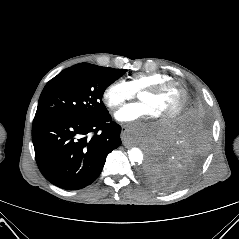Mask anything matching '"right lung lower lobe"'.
<instances>
[{"label": "right lung lower lobe", "instance_id": "98d812e1", "mask_svg": "<svg viewBox=\"0 0 239 239\" xmlns=\"http://www.w3.org/2000/svg\"><path fill=\"white\" fill-rule=\"evenodd\" d=\"M120 131L109 113L93 119L35 117L32 141L38 168L60 188L86 187L100 175L107 155L120 146Z\"/></svg>", "mask_w": 239, "mask_h": 239}]
</instances>
